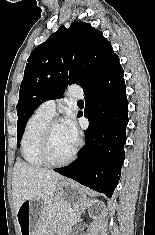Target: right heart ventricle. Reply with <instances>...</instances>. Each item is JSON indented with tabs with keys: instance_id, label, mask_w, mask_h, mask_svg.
<instances>
[{
	"instance_id": "right-heart-ventricle-1",
	"label": "right heart ventricle",
	"mask_w": 155,
	"mask_h": 235,
	"mask_svg": "<svg viewBox=\"0 0 155 235\" xmlns=\"http://www.w3.org/2000/svg\"><path fill=\"white\" fill-rule=\"evenodd\" d=\"M52 116L36 110L28 119L21 138V154L26 163L40 167L45 163L39 155V144L44 127Z\"/></svg>"
}]
</instances>
